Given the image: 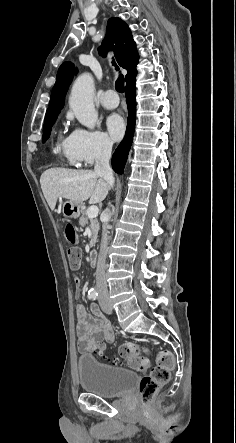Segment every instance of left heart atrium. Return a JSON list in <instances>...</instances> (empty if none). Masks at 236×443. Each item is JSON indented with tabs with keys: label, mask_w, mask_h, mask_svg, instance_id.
I'll list each match as a JSON object with an SVG mask.
<instances>
[{
	"label": "left heart atrium",
	"mask_w": 236,
	"mask_h": 443,
	"mask_svg": "<svg viewBox=\"0 0 236 443\" xmlns=\"http://www.w3.org/2000/svg\"><path fill=\"white\" fill-rule=\"evenodd\" d=\"M104 124L107 134L112 140H118L123 136L125 126L122 118L119 115H108L105 118Z\"/></svg>",
	"instance_id": "left-heart-atrium-1"
}]
</instances>
